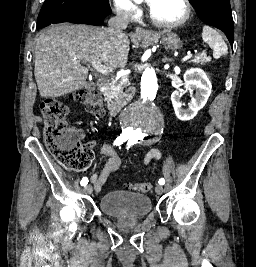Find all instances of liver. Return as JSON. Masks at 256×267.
Segmentation results:
<instances>
[{
    "instance_id": "obj_1",
    "label": "liver",
    "mask_w": 256,
    "mask_h": 267,
    "mask_svg": "<svg viewBox=\"0 0 256 267\" xmlns=\"http://www.w3.org/2000/svg\"><path fill=\"white\" fill-rule=\"evenodd\" d=\"M132 42H137L130 36ZM130 42L108 34L107 28L85 24H54L37 38L34 76L42 98H58L86 86L92 62L125 68Z\"/></svg>"
}]
</instances>
